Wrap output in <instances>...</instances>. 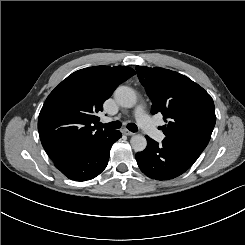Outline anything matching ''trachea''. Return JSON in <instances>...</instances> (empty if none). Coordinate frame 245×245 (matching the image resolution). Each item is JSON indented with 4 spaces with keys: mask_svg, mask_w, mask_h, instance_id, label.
Listing matches in <instances>:
<instances>
[{
    "mask_svg": "<svg viewBox=\"0 0 245 245\" xmlns=\"http://www.w3.org/2000/svg\"><path fill=\"white\" fill-rule=\"evenodd\" d=\"M120 121H113L110 123L102 124L100 123V127L107 128V129H119L121 127ZM127 129H129L131 132H137L138 127L134 123L127 124Z\"/></svg>",
    "mask_w": 245,
    "mask_h": 245,
    "instance_id": "trachea-1",
    "label": "trachea"
}]
</instances>
